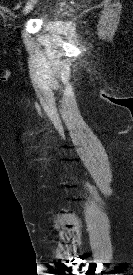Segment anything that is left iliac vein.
Returning a JSON list of instances; mask_svg holds the SVG:
<instances>
[{
    "label": "left iliac vein",
    "instance_id": "1",
    "mask_svg": "<svg viewBox=\"0 0 133 275\" xmlns=\"http://www.w3.org/2000/svg\"><path fill=\"white\" fill-rule=\"evenodd\" d=\"M37 0H28L24 9H23V13L27 14L32 8L33 6L36 4Z\"/></svg>",
    "mask_w": 133,
    "mask_h": 275
}]
</instances>
